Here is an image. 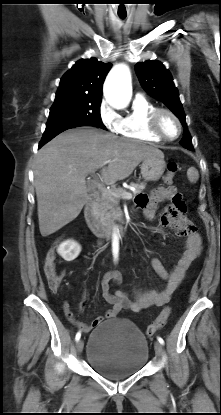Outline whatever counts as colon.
<instances>
[{"label":"colon","mask_w":221,"mask_h":415,"mask_svg":"<svg viewBox=\"0 0 221 415\" xmlns=\"http://www.w3.org/2000/svg\"><path fill=\"white\" fill-rule=\"evenodd\" d=\"M177 170H178V165L176 163L170 162L167 165V171L163 178L164 182L167 185H170L173 182V179H174V176ZM185 210H186V207H185ZM55 259H56V254H55V249L53 246L48 250L46 254V258H45V263H44V273H45L49 288L52 291H57L59 289L61 280H62V274L58 273L56 270ZM170 314H171V308L165 307L160 313V315L157 317V319L147 327V330H146L147 335H153L156 331L164 327Z\"/></svg>","instance_id":"obj_1"}]
</instances>
